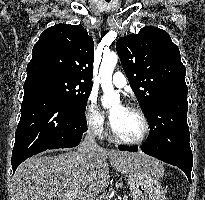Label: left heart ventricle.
Listing matches in <instances>:
<instances>
[{"instance_id":"left-heart-ventricle-1","label":"left heart ventricle","mask_w":205,"mask_h":200,"mask_svg":"<svg viewBox=\"0 0 205 200\" xmlns=\"http://www.w3.org/2000/svg\"><path fill=\"white\" fill-rule=\"evenodd\" d=\"M112 126L123 138L134 140L140 137L143 131V123L139 115L122 105H116L111 110Z\"/></svg>"}]
</instances>
